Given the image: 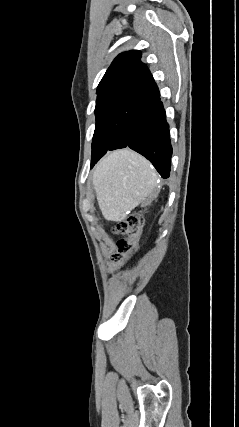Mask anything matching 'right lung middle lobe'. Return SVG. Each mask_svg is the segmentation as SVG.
Returning <instances> with one entry per match:
<instances>
[{
  "mask_svg": "<svg viewBox=\"0 0 239 427\" xmlns=\"http://www.w3.org/2000/svg\"><path fill=\"white\" fill-rule=\"evenodd\" d=\"M148 106V100L135 97L96 102L91 166L108 150L126 145L135 122Z\"/></svg>",
  "mask_w": 239,
  "mask_h": 427,
  "instance_id": "obj_1",
  "label": "right lung middle lobe"
}]
</instances>
